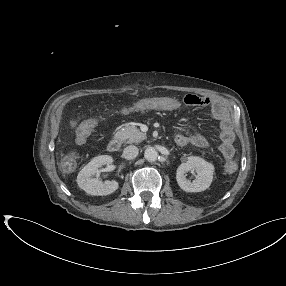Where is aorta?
I'll return each instance as SVG.
<instances>
[{
	"instance_id": "762f6f07",
	"label": "aorta",
	"mask_w": 286,
	"mask_h": 286,
	"mask_svg": "<svg viewBox=\"0 0 286 286\" xmlns=\"http://www.w3.org/2000/svg\"><path fill=\"white\" fill-rule=\"evenodd\" d=\"M144 157L149 162H154L158 158V152L153 147H148L144 152Z\"/></svg>"
}]
</instances>
